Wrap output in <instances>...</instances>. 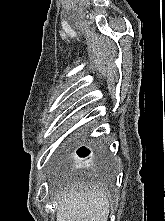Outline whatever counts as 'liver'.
Instances as JSON below:
<instances>
[{"label":"liver","instance_id":"obj_1","mask_svg":"<svg viewBox=\"0 0 165 221\" xmlns=\"http://www.w3.org/2000/svg\"><path fill=\"white\" fill-rule=\"evenodd\" d=\"M109 208L101 189L74 185L60 193L57 221H107Z\"/></svg>","mask_w":165,"mask_h":221}]
</instances>
